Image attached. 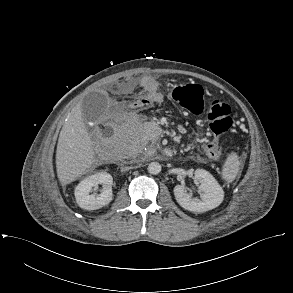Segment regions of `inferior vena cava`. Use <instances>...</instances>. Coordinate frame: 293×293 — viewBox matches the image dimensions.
Returning <instances> with one entry per match:
<instances>
[{
	"instance_id": "inferior-vena-cava-1",
	"label": "inferior vena cava",
	"mask_w": 293,
	"mask_h": 293,
	"mask_svg": "<svg viewBox=\"0 0 293 293\" xmlns=\"http://www.w3.org/2000/svg\"><path fill=\"white\" fill-rule=\"evenodd\" d=\"M121 169H122V171H126V170L131 169V167H122Z\"/></svg>"
}]
</instances>
